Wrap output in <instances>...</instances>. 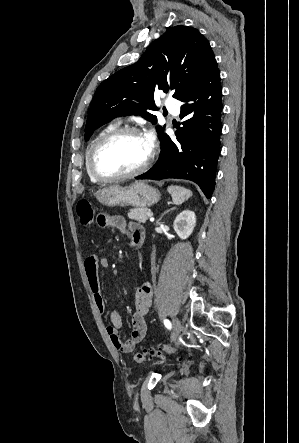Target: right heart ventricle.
Returning a JSON list of instances; mask_svg holds the SVG:
<instances>
[{
    "label": "right heart ventricle",
    "instance_id": "right-heart-ventricle-1",
    "mask_svg": "<svg viewBox=\"0 0 299 443\" xmlns=\"http://www.w3.org/2000/svg\"><path fill=\"white\" fill-rule=\"evenodd\" d=\"M118 126H119V123H118V122H112V123L106 125L104 128H102V129H101V130H100V131H99V132L93 137V139L90 141V143H89V145H88V147H87V150H86V153H85V168H86V172H87V174H88L89 179L91 180V182L97 183V182H99V181L96 180V179L91 175L90 170H89L88 157H89L90 150H91L92 146L95 144V142H96L100 137H102L104 134L110 132L111 130H113V129H115V128H118Z\"/></svg>",
    "mask_w": 299,
    "mask_h": 443
}]
</instances>
